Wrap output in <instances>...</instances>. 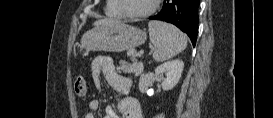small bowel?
Returning <instances> with one entry per match:
<instances>
[{
    "instance_id": "1",
    "label": "small bowel",
    "mask_w": 273,
    "mask_h": 118,
    "mask_svg": "<svg viewBox=\"0 0 273 118\" xmlns=\"http://www.w3.org/2000/svg\"><path fill=\"white\" fill-rule=\"evenodd\" d=\"M92 76L97 88L102 87L101 75L109 86L115 91L124 95L118 102V112L122 118H142L141 109L138 100L128 94L132 88V82L128 77L121 75L115 66L113 59L106 56L96 57L91 65ZM100 102L97 99L89 101L88 108L91 112L85 115V118H94L93 111H97ZM105 118H119L117 111L111 106L105 108Z\"/></svg>"
}]
</instances>
